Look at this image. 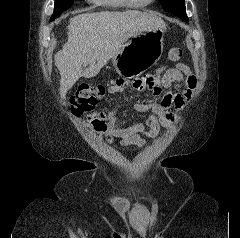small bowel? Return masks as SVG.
I'll list each match as a JSON object with an SVG mask.
<instances>
[{
    "label": "small bowel",
    "instance_id": "c3829d8e",
    "mask_svg": "<svg viewBox=\"0 0 240 238\" xmlns=\"http://www.w3.org/2000/svg\"><path fill=\"white\" fill-rule=\"evenodd\" d=\"M173 82H182L183 87L177 92H168L163 95L158 103H136L135 110L140 113H150L145 122L135 123L126 128L117 127L116 109H101L94 112L91 118L100 119L105 122L107 132L113 137L119 139L124 146H144L147 138H155L162 127L169 129L174 124L176 116L170 111L174 108L176 111L183 109L186 101L196 87V78L191 69L185 64H177L174 68L162 67L155 74L146 78L133 81L128 84L124 80L117 79L110 85L108 92L110 94L123 92L127 86L132 90L142 91L149 89L154 95L158 96L162 88L169 87Z\"/></svg>",
    "mask_w": 240,
    "mask_h": 238
}]
</instances>
